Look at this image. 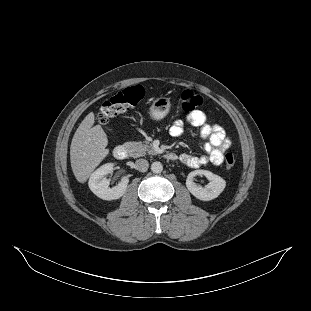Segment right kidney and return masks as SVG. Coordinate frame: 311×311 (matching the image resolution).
<instances>
[{
  "label": "right kidney",
  "instance_id": "ca27d5eb",
  "mask_svg": "<svg viewBox=\"0 0 311 311\" xmlns=\"http://www.w3.org/2000/svg\"><path fill=\"white\" fill-rule=\"evenodd\" d=\"M114 164L107 163L95 170L89 179L88 185L90 190L103 200L119 199L124 195L129 183L128 177H123L118 185L110 188L109 180L105 175L113 171Z\"/></svg>",
  "mask_w": 311,
  "mask_h": 311
}]
</instances>
